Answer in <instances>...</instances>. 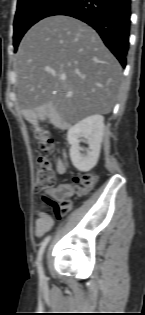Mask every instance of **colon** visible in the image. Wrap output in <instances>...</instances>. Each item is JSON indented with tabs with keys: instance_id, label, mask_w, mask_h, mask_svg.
Segmentation results:
<instances>
[{
	"instance_id": "obj_1",
	"label": "colon",
	"mask_w": 145,
	"mask_h": 315,
	"mask_svg": "<svg viewBox=\"0 0 145 315\" xmlns=\"http://www.w3.org/2000/svg\"><path fill=\"white\" fill-rule=\"evenodd\" d=\"M40 139V148L43 152H48L53 145V140L49 137L48 132L41 127H34ZM37 166V188H46L53 185L55 178L49 158L45 154H38L36 158ZM95 175L83 174L74 178V187L80 192H86L92 188L95 183ZM72 206L68 198L60 201L55 205L57 215H62L70 210Z\"/></svg>"
}]
</instances>
